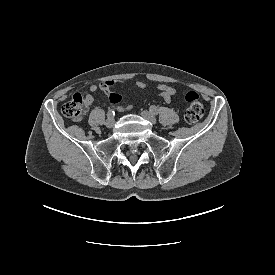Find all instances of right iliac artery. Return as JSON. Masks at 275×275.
<instances>
[{"instance_id":"right-iliac-artery-1","label":"right iliac artery","mask_w":275,"mask_h":275,"mask_svg":"<svg viewBox=\"0 0 275 275\" xmlns=\"http://www.w3.org/2000/svg\"><path fill=\"white\" fill-rule=\"evenodd\" d=\"M113 115H115V112H114L113 110H110V111L108 112V116H109V117H112Z\"/></svg>"}]
</instances>
